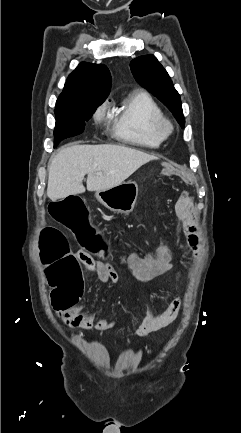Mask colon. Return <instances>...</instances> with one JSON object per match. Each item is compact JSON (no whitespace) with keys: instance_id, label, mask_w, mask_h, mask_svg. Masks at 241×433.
Masks as SVG:
<instances>
[{"instance_id":"1","label":"colon","mask_w":241,"mask_h":433,"mask_svg":"<svg viewBox=\"0 0 241 433\" xmlns=\"http://www.w3.org/2000/svg\"><path fill=\"white\" fill-rule=\"evenodd\" d=\"M154 160L149 162L152 165ZM158 163V160H155ZM160 177H180L182 180L191 181L192 175L188 168H169L168 161L157 164ZM79 193H72L71 198H61L59 201L50 200L46 206V215H50L51 221H60L65 229H73L72 239L79 243L80 247H97L98 232L93 228H99V221H88L91 215L87 213V205L79 200ZM160 250L171 249V246L160 245ZM39 257L42 261L40 271L47 272L50 286L51 301L55 312H72L74 303L78 304L82 297V270L78 261L71 253L65 236L55 228H46L40 235Z\"/></svg>"}]
</instances>
